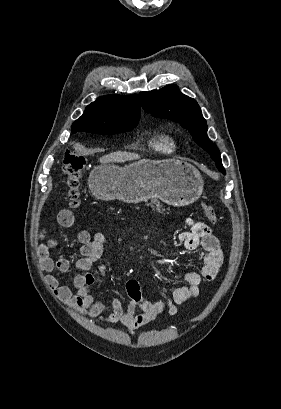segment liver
Instances as JSON below:
<instances>
[{
	"label": "liver",
	"instance_id": "obj_1",
	"mask_svg": "<svg viewBox=\"0 0 281 409\" xmlns=\"http://www.w3.org/2000/svg\"><path fill=\"white\" fill-rule=\"evenodd\" d=\"M140 158V154H135V152H111V154H105L99 158L102 164L105 162H125V160H136Z\"/></svg>",
	"mask_w": 281,
	"mask_h": 409
}]
</instances>
